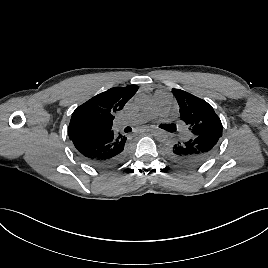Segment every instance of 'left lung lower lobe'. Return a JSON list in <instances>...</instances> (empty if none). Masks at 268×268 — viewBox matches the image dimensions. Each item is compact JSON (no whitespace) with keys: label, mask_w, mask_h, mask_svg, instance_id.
<instances>
[{"label":"left lung lower lobe","mask_w":268,"mask_h":268,"mask_svg":"<svg viewBox=\"0 0 268 268\" xmlns=\"http://www.w3.org/2000/svg\"><path fill=\"white\" fill-rule=\"evenodd\" d=\"M218 135L191 136L185 141H176L168 146L169 156L179 164L198 166L206 162L219 145Z\"/></svg>","instance_id":"0a47b994"}]
</instances>
